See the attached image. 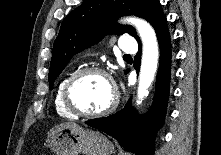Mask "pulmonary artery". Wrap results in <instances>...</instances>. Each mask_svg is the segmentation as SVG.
<instances>
[{
	"label": "pulmonary artery",
	"instance_id": "pulmonary-artery-1",
	"mask_svg": "<svg viewBox=\"0 0 221 155\" xmlns=\"http://www.w3.org/2000/svg\"><path fill=\"white\" fill-rule=\"evenodd\" d=\"M119 47L124 53H128V54L135 53L137 50L136 42L130 36L121 37Z\"/></svg>",
	"mask_w": 221,
	"mask_h": 155
}]
</instances>
